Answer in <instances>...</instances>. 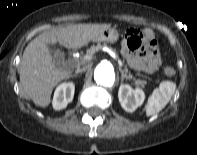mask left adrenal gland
I'll list each match as a JSON object with an SVG mask.
<instances>
[{
    "label": "left adrenal gland",
    "instance_id": "left-adrenal-gland-1",
    "mask_svg": "<svg viewBox=\"0 0 197 155\" xmlns=\"http://www.w3.org/2000/svg\"><path fill=\"white\" fill-rule=\"evenodd\" d=\"M119 71L121 73V81H123L125 78L128 79V76L124 73L122 68H119Z\"/></svg>",
    "mask_w": 197,
    "mask_h": 155
}]
</instances>
